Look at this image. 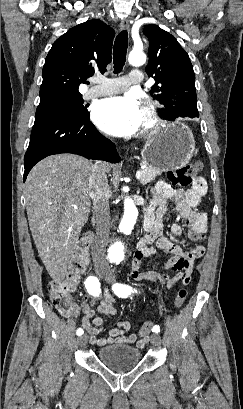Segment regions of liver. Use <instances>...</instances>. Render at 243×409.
<instances>
[{
	"instance_id": "liver-1",
	"label": "liver",
	"mask_w": 243,
	"mask_h": 409,
	"mask_svg": "<svg viewBox=\"0 0 243 409\" xmlns=\"http://www.w3.org/2000/svg\"><path fill=\"white\" fill-rule=\"evenodd\" d=\"M105 172L108 163H102ZM91 161L73 154L46 157L25 182L29 227L38 254L51 278L61 282L90 213Z\"/></svg>"
}]
</instances>
